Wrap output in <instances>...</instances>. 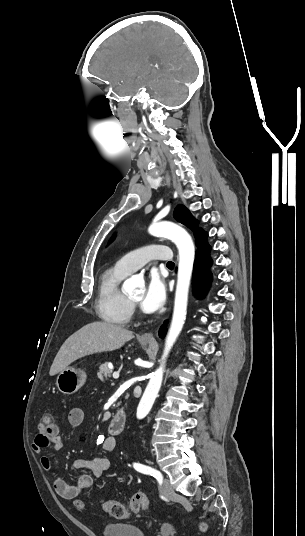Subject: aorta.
<instances>
[{
  "label": "aorta",
  "instance_id": "aorta-1",
  "mask_svg": "<svg viewBox=\"0 0 305 536\" xmlns=\"http://www.w3.org/2000/svg\"><path fill=\"white\" fill-rule=\"evenodd\" d=\"M148 231L153 236L166 237L175 243L179 252V264L172 322L166 338L161 364L151 375L140 400L136 414L138 419L144 418L152 408L162 384L166 358L186 320L189 286L195 260V247L192 238L179 225L172 222L153 223ZM140 283L142 281L138 277H131L124 282V291H135Z\"/></svg>",
  "mask_w": 305,
  "mask_h": 536
}]
</instances>
